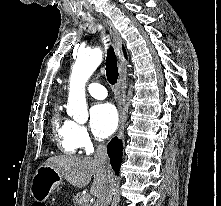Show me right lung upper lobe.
Listing matches in <instances>:
<instances>
[{"label":"right lung upper lobe","mask_w":221,"mask_h":206,"mask_svg":"<svg viewBox=\"0 0 221 206\" xmlns=\"http://www.w3.org/2000/svg\"><path fill=\"white\" fill-rule=\"evenodd\" d=\"M123 51H124V54H125V50L123 49ZM125 57H126V54H125Z\"/></svg>","instance_id":"right-lung-upper-lobe-1"}]
</instances>
